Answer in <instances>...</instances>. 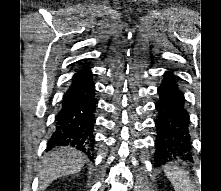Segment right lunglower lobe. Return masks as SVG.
Instances as JSON below:
<instances>
[{
  "label": "right lung lower lobe",
  "mask_w": 221,
  "mask_h": 191,
  "mask_svg": "<svg viewBox=\"0 0 221 191\" xmlns=\"http://www.w3.org/2000/svg\"><path fill=\"white\" fill-rule=\"evenodd\" d=\"M97 103L90 67L84 66L74 74L71 85L63 96L48 148L71 146L89 157L93 155Z\"/></svg>",
  "instance_id": "right-lung-lower-lobe-1"
}]
</instances>
